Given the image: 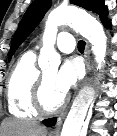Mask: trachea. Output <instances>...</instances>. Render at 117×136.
I'll list each match as a JSON object with an SVG mask.
<instances>
[{"label":"trachea","mask_w":117,"mask_h":136,"mask_svg":"<svg viewBox=\"0 0 117 136\" xmlns=\"http://www.w3.org/2000/svg\"><path fill=\"white\" fill-rule=\"evenodd\" d=\"M84 49H85V42H84L83 40H80V41L78 42V50H79L80 52H83Z\"/></svg>","instance_id":"obj_1"}]
</instances>
